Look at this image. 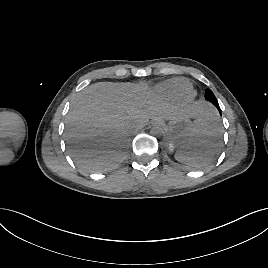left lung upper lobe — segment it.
Returning <instances> with one entry per match:
<instances>
[{"mask_svg":"<svg viewBox=\"0 0 268 268\" xmlns=\"http://www.w3.org/2000/svg\"><path fill=\"white\" fill-rule=\"evenodd\" d=\"M205 99L210 101L213 104L218 102L216 97L214 96L213 92L209 89H207L205 92Z\"/></svg>","mask_w":268,"mask_h":268,"instance_id":"5c2ea615","label":"left lung upper lobe"}]
</instances>
